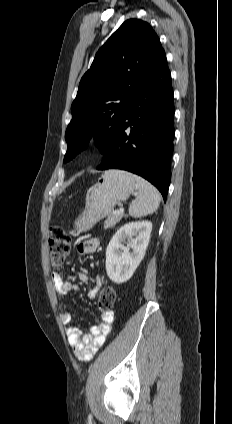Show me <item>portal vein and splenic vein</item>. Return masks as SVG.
Listing matches in <instances>:
<instances>
[{"label":"portal vein and splenic vein","mask_w":232,"mask_h":424,"mask_svg":"<svg viewBox=\"0 0 232 424\" xmlns=\"http://www.w3.org/2000/svg\"><path fill=\"white\" fill-rule=\"evenodd\" d=\"M116 213H124V208L120 207L118 211H116Z\"/></svg>","instance_id":"1"}]
</instances>
